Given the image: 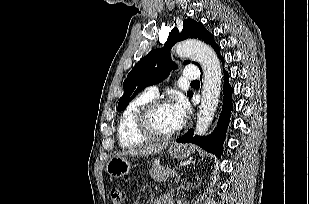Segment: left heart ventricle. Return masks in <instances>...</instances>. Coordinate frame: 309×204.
<instances>
[{"mask_svg": "<svg viewBox=\"0 0 309 204\" xmlns=\"http://www.w3.org/2000/svg\"><path fill=\"white\" fill-rule=\"evenodd\" d=\"M152 128L158 133H168L178 128L171 105L156 109L150 119Z\"/></svg>", "mask_w": 309, "mask_h": 204, "instance_id": "b2bd125f", "label": "left heart ventricle"}]
</instances>
